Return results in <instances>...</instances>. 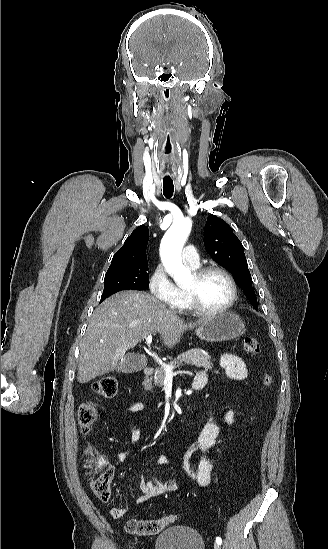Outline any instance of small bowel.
<instances>
[{"label": "small bowel", "mask_w": 328, "mask_h": 549, "mask_svg": "<svg viewBox=\"0 0 328 549\" xmlns=\"http://www.w3.org/2000/svg\"><path fill=\"white\" fill-rule=\"evenodd\" d=\"M219 365L223 368L227 375L234 380H244L248 376V369L245 362L238 356L233 354H223L219 359ZM197 376H205L200 371ZM144 409L142 403H134L128 407L129 412H140ZM219 425L216 421L214 413L201 430L198 437L183 451L182 453V470L186 477L200 487H206L212 480V458L211 453L215 445L217 435L219 433ZM139 439V432L136 428H133L131 446L136 444ZM195 453H199V458L196 466L191 463V458ZM129 451H119L116 455L117 459L124 462L128 459ZM170 458L167 455H160L155 459V463L158 465H165L169 463ZM100 462L108 464V456H101ZM140 495L136 498V503H144L151 498L176 492L179 490V486L174 481L162 480L155 476L150 479H142L139 485ZM124 512L122 509H116L113 511L114 515H121Z\"/></svg>", "instance_id": "obj_1"}]
</instances>
